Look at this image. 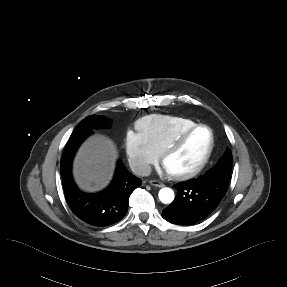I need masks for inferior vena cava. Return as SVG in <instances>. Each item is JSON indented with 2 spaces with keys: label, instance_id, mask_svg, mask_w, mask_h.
I'll list each match as a JSON object with an SVG mask.
<instances>
[{
  "label": "inferior vena cava",
  "instance_id": "obj_1",
  "mask_svg": "<svg viewBox=\"0 0 287 287\" xmlns=\"http://www.w3.org/2000/svg\"><path fill=\"white\" fill-rule=\"evenodd\" d=\"M130 168L139 176H149L151 174V166L143 162H133L130 164Z\"/></svg>",
  "mask_w": 287,
  "mask_h": 287
}]
</instances>
